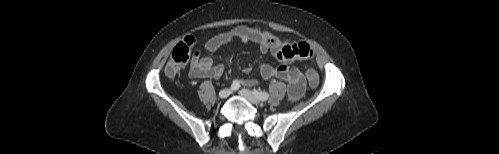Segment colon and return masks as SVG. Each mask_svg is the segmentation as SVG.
Masks as SVG:
<instances>
[{
    "label": "colon",
    "instance_id": "1",
    "mask_svg": "<svg viewBox=\"0 0 499 154\" xmlns=\"http://www.w3.org/2000/svg\"><path fill=\"white\" fill-rule=\"evenodd\" d=\"M195 45L196 40L193 37H187L174 47L165 69L168 76H176L179 71L186 65L190 58L192 50L195 48ZM305 76L310 87H317L319 83V76L315 70L307 69L305 72Z\"/></svg>",
    "mask_w": 499,
    "mask_h": 154
}]
</instances>
